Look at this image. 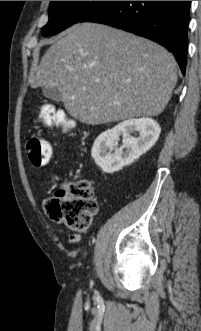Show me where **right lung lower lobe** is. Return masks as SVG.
Listing matches in <instances>:
<instances>
[{
  "label": "right lung lower lobe",
  "instance_id": "right-lung-lower-lobe-1",
  "mask_svg": "<svg viewBox=\"0 0 201 331\" xmlns=\"http://www.w3.org/2000/svg\"><path fill=\"white\" fill-rule=\"evenodd\" d=\"M190 1H106L79 22H95L151 39L171 51L185 74Z\"/></svg>",
  "mask_w": 201,
  "mask_h": 331
}]
</instances>
